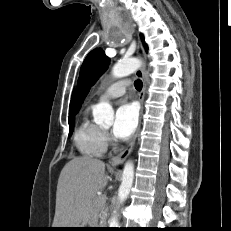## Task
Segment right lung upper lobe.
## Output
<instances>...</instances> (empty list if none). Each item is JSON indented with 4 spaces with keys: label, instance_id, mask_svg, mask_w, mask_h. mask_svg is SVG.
I'll list each match as a JSON object with an SVG mask.
<instances>
[{
    "label": "right lung upper lobe",
    "instance_id": "cb5924a9",
    "mask_svg": "<svg viewBox=\"0 0 231 231\" xmlns=\"http://www.w3.org/2000/svg\"><path fill=\"white\" fill-rule=\"evenodd\" d=\"M70 118H74V115H73V101H71V103H70L69 119Z\"/></svg>",
    "mask_w": 231,
    "mask_h": 231
}]
</instances>
